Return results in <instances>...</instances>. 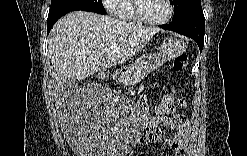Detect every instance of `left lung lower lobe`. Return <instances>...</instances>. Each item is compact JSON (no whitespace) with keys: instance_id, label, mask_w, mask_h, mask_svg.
I'll return each mask as SVG.
<instances>
[{"instance_id":"1","label":"left lung lower lobe","mask_w":247,"mask_h":156,"mask_svg":"<svg viewBox=\"0 0 247 156\" xmlns=\"http://www.w3.org/2000/svg\"><path fill=\"white\" fill-rule=\"evenodd\" d=\"M160 27L194 39L199 46L200 52L202 51L205 29V18L202 8L196 9L180 21H172V23L160 25Z\"/></svg>"}]
</instances>
